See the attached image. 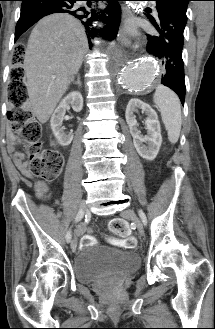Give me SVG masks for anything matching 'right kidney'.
Returning <instances> with one entry per match:
<instances>
[{"mask_svg": "<svg viewBox=\"0 0 215 329\" xmlns=\"http://www.w3.org/2000/svg\"><path fill=\"white\" fill-rule=\"evenodd\" d=\"M72 108L75 112H80L83 108V97L80 92L74 91L69 93L55 109L50 125L58 143L62 146H68L73 140V134L65 132L62 122L67 108Z\"/></svg>", "mask_w": 215, "mask_h": 329, "instance_id": "ca27d5eb", "label": "right kidney"}]
</instances>
